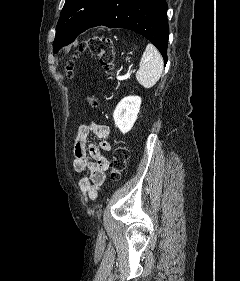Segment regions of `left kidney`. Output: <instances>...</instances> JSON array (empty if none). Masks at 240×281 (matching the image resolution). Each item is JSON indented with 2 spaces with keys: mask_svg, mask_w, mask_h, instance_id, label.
Segmentation results:
<instances>
[{
  "mask_svg": "<svg viewBox=\"0 0 240 281\" xmlns=\"http://www.w3.org/2000/svg\"><path fill=\"white\" fill-rule=\"evenodd\" d=\"M141 98L139 96H128L123 98L116 106L113 118L117 128L125 134L129 132L140 110Z\"/></svg>",
  "mask_w": 240,
  "mask_h": 281,
  "instance_id": "obj_1",
  "label": "left kidney"
}]
</instances>
